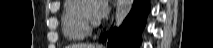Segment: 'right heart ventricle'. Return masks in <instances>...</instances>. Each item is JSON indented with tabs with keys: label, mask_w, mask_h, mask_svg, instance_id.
<instances>
[{
	"label": "right heart ventricle",
	"mask_w": 213,
	"mask_h": 48,
	"mask_svg": "<svg viewBox=\"0 0 213 48\" xmlns=\"http://www.w3.org/2000/svg\"><path fill=\"white\" fill-rule=\"evenodd\" d=\"M78 0H66L62 10L61 27L64 36L71 41H79L86 38L90 30L81 22L78 8Z\"/></svg>",
	"instance_id": "e07e8e85"
}]
</instances>
